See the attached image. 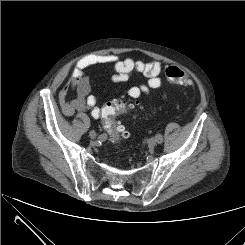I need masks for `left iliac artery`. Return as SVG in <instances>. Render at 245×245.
I'll return each instance as SVG.
<instances>
[{
    "mask_svg": "<svg viewBox=\"0 0 245 245\" xmlns=\"http://www.w3.org/2000/svg\"><path fill=\"white\" fill-rule=\"evenodd\" d=\"M156 139H157V142H158L159 144L163 142V138H162V136H161L160 134H157V135H156Z\"/></svg>",
    "mask_w": 245,
    "mask_h": 245,
    "instance_id": "left-iliac-artery-1",
    "label": "left iliac artery"
}]
</instances>
